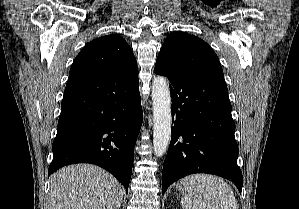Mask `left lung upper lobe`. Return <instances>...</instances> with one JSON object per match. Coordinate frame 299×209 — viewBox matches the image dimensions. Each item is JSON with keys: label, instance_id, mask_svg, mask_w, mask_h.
Returning a JSON list of instances; mask_svg holds the SVG:
<instances>
[{"label": "left lung upper lobe", "instance_id": "left-lung-upper-lobe-1", "mask_svg": "<svg viewBox=\"0 0 299 209\" xmlns=\"http://www.w3.org/2000/svg\"><path fill=\"white\" fill-rule=\"evenodd\" d=\"M155 70L172 76L224 80L219 59L209 44L180 31L166 38L157 57Z\"/></svg>", "mask_w": 299, "mask_h": 209}]
</instances>
